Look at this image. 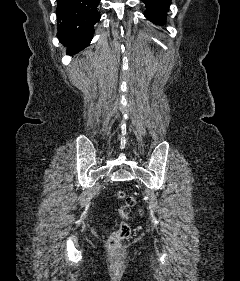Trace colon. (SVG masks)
<instances>
[{
	"instance_id": "1",
	"label": "colon",
	"mask_w": 240,
	"mask_h": 281,
	"mask_svg": "<svg viewBox=\"0 0 240 281\" xmlns=\"http://www.w3.org/2000/svg\"><path fill=\"white\" fill-rule=\"evenodd\" d=\"M117 195L123 200V205L118 211L121 218L119 226L107 240V248L110 252H117L122 243L130 236L131 228L126 221L131 217V210L136 204V199L133 195L126 194L123 191H119Z\"/></svg>"
}]
</instances>
